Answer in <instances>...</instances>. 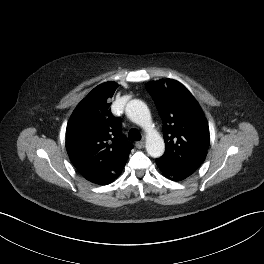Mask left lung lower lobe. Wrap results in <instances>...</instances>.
I'll return each mask as SVG.
<instances>
[{
  "label": "left lung lower lobe",
  "mask_w": 264,
  "mask_h": 264,
  "mask_svg": "<svg viewBox=\"0 0 264 264\" xmlns=\"http://www.w3.org/2000/svg\"><path fill=\"white\" fill-rule=\"evenodd\" d=\"M156 163L164 176L173 181L183 180L195 171L190 168L173 166L159 159H156Z\"/></svg>",
  "instance_id": "1"
}]
</instances>
